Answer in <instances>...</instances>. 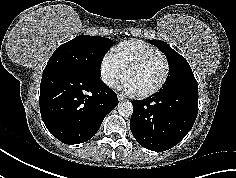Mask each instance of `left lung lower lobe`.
I'll list each match as a JSON object with an SVG mask.
<instances>
[{
	"label": "left lung lower lobe",
	"mask_w": 236,
	"mask_h": 178,
	"mask_svg": "<svg viewBox=\"0 0 236 178\" xmlns=\"http://www.w3.org/2000/svg\"><path fill=\"white\" fill-rule=\"evenodd\" d=\"M132 105L130 129L137 142L151 151H165L192 128L198 113V89L161 90Z\"/></svg>",
	"instance_id": "obj_1"
}]
</instances>
